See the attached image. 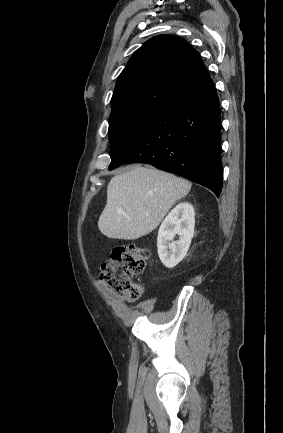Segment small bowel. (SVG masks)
Wrapping results in <instances>:
<instances>
[{
    "mask_svg": "<svg viewBox=\"0 0 283 433\" xmlns=\"http://www.w3.org/2000/svg\"><path fill=\"white\" fill-rule=\"evenodd\" d=\"M96 284L99 289L104 292L107 297L115 304L119 316L125 323H131L136 319L137 312L129 308V304L132 303L133 300H131L130 298L121 297L111 292L107 288L105 282L101 279H97Z\"/></svg>",
    "mask_w": 283,
    "mask_h": 433,
    "instance_id": "obj_1",
    "label": "small bowel"
}]
</instances>
